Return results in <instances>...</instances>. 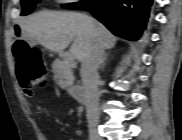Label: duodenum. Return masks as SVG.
Wrapping results in <instances>:
<instances>
[{"instance_id": "obj_1", "label": "duodenum", "mask_w": 182, "mask_h": 140, "mask_svg": "<svg viewBox=\"0 0 182 140\" xmlns=\"http://www.w3.org/2000/svg\"><path fill=\"white\" fill-rule=\"evenodd\" d=\"M74 96L77 102L79 103H85L86 97L83 89L81 87H75L73 89Z\"/></svg>"}]
</instances>
